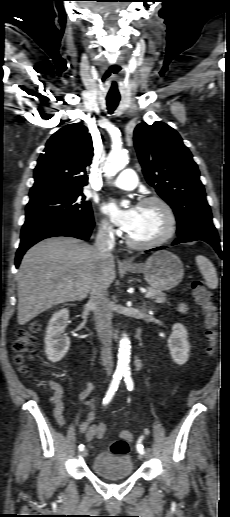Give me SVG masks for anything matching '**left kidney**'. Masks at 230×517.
<instances>
[{
	"label": "left kidney",
	"mask_w": 230,
	"mask_h": 517,
	"mask_svg": "<svg viewBox=\"0 0 230 517\" xmlns=\"http://www.w3.org/2000/svg\"><path fill=\"white\" fill-rule=\"evenodd\" d=\"M167 345L173 361L178 365H184L189 358L190 344L186 328L176 323L172 327V334L167 340Z\"/></svg>",
	"instance_id": "5707ae66"
}]
</instances>
